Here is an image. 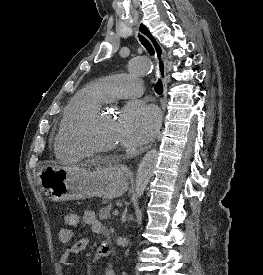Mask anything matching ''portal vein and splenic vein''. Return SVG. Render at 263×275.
Returning <instances> with one entry per match:
<instances>
[{"label":"portal vein and splenic vein","mask_w":263,"mask_h":275,"mask_svg":"<svg viewBox=\"0 0 263 275\" xmlns=\"http://www.w3.org/2000/svg\"><path fill=\"white\" fill-rule=\"evenodd\" d=\"M118 214H119V211L117 209L113 211L114 216H117Z\"/></svg>","instance_id":"obj_1"}]
</instances>
